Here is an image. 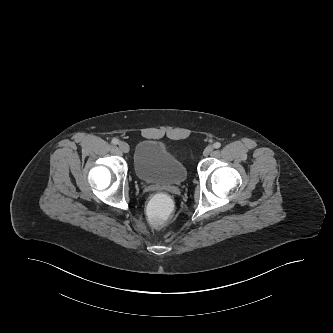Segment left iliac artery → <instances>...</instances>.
Instances as JSON below:
<instances>
[{"label":"left iliac artery","instance_id":"obj_1","mask_svg":"<svg viewBox=\"0 0 333 333\" xmlns=\"http://www.w3.org/2000/svg\"><path fill=\"white\" fill-rule=\"evenodd\" d=\"M213 146H214V148L218 149V148L221 147V143H219V142H215V143L213 144Z\"/></svg>","mask_w":333,"mask_h":333}]
</instances>
